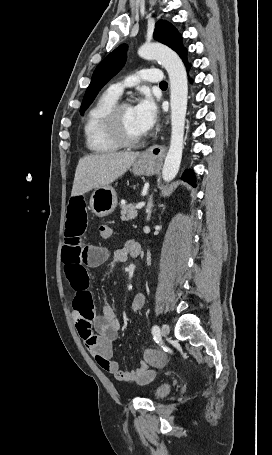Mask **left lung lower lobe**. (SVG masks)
Masks as SVG:
<instances>
[{
	"label": "left lung lower lobe",
	"instance_id": "obj_1",
	"mask_svg": "<svg viewBox=\"0 0 272 455\" xmlns=\"http://www.w3.org/2000/svg\"><path fill=\"white\" fill-rule=\"evenodd\" d=\"M183 62L185 63L186 66H188V61L186 58H182ZM189 69V66L187 67V70ZM182 179L189 182L190 184H192L193 186H195V177H194V173L192 171H186L183 176H182Z\"/></svg>",
	"mask_w": 272,
	"mask_h": 455
}]
</instances>
